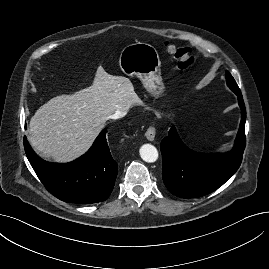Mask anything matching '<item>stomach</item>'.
Instances as JSON below:
<instances>
[{"label": "stomach", "instance_id": "1", "mask_svg": "<svg viewBox=\"0 0 269 269\" xmlns=\"http://www.w3.org/2000/svg\"><path fill=\"white\" fill-rule=\"evenodd\" d=\"M119 65L127 75L137 76L149 92L163 91L161 61L154 46L142 42L126 46L120 53Z\"/></svg>", "mask_w": 269, "mask_h": 269}]
</instances>
